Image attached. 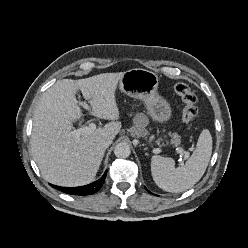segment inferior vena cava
Segmentation results:
<instances>
[{"label": "inferior vena cava", "instance_id": "inferior-vena-cava-1", "mask_svg": "<svg viewBox=\"0 0 248 248\" xmlns=\"http://www.w3.org/2000/svg\"><path fill=\"white\" fill-rule=\"evenodd\" d=\"M98 146L102 149L108 148L112 144L111 138H101L97 142Z\"/></svg>", "mask_w": 248, "mask_h": 248}]
</instances>
